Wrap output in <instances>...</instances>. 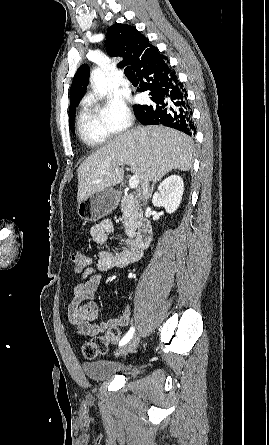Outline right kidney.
Here are the masks:
<instances>
[{
    "label": "right kidney",
    "mask_w": 269,
    "mask_h": 445,
    "mask_svg": "<svg viewBox=\"0 0 269 445\" xmlns=\"http://www.w3.org/2000/svg\"><path fill=\"white\" fill-rule=\"evenodd\" d=\"M184 191V183L180 176L171 175L159 185L153 195L152 203L156 207H164L171 214L179 207Z\"/></svg>",
    "instance_id": "ca27d5eb"
}]
</instances>
